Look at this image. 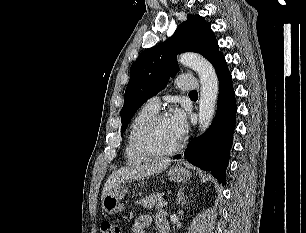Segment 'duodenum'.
<instances>
[{
    "label": "duodenum",
    "mask_w": 306,
    "mask_h": 233,
    "mask_svg": "<svg viewBox=\"0 0 306 233\" xmlns=\"http://www.w3.org/2000/svg\"><path fill=\"white\" fill-rule=\"evenodd\" d=\"M159 233H169L168 224L161 226L160 229H159Z\"/></svg>",
    "instance_id": "obj_1"
}]
</instances>
